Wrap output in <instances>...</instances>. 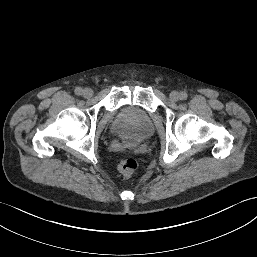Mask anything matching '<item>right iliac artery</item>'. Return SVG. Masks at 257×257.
I'll list each match as a JSON object with an SVG mask.
<instances>
[{"instance_id": "1", "label": "right iliac artery", "mask_w": 257, "mask_h": 257, "mask_svg": "<svg viewBox=\"0 0 257 257\" xmlns=\"http://www.w3.org/2000/svg\"><path fill=\"white\" fill-rule=\"evenodd\" d=\"M75 93H76L77 95H81V94L83 93L82 88H80V87L76 88V89H75Z\"/></svg>"}]
</instances>
